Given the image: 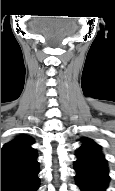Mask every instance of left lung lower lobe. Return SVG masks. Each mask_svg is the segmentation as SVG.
I'll return each instance as SVG.
<instances>
[{"mask_svg":"<svg viewBox=\"0 0 115 191\" xmlns=\"http://www.w3.org/2000/svg\"><path fill=\"white\" fill-rule=\"evenodd\" d=\"M76 183L81 191H106L109 182L107 165L94 161H76Z\"/></svg>","mask_w":115,"mask_h":191,"instance_id":"1","label":"left lung lower lobe"}]
</instances>
